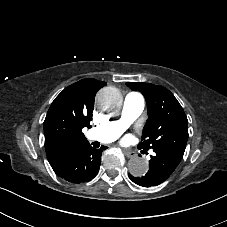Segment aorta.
<instances>
[{
    "label": "aorta",
    "mask_w": 227,
    "mask_h": 227,
    "mask_svg": "<svg viewBox=\"0 0 227 227\" xmlns=\"http://www.w3.org/2000/svg\"><path fill=\"white\" fill-rule=\"evenodd\" d=\"M97 105L106 111H116L122 105V96L117 88L105 87L96 96ZM131 175L136 177L144 176L148 171V163L141 157H133L128 162Z\"/></svg>",
    "instance_id": "762f6f07"
}]
</instances>
